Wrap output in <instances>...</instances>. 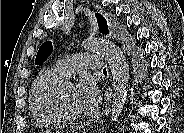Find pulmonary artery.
I'll return each mask as SVG.
<instances>
[{
	"label": "pulmonary artery",
	"instance_id": "e3ab8cb5",
	"mask_svg": "<svg viewBox=\"0 0 184 133\" xmlns=\"http://www.w3.org/2000/svg\"><path fill=\"white\" fill-rule=\"evenodd\" d=\"M102 60L99 55L74 54L60 59L55 68L63 77H67L83 69L101 70L103 69Z\"/></svg>",
	"mask_w": 184,
	"mask_h": 133
}]
</instances>
